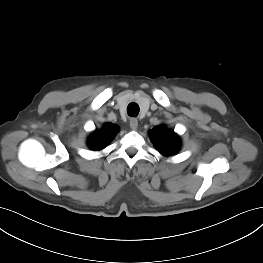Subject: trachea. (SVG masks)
<instances>
[{"instance_id":"trachea-1","label":"trachea","mask_w":263,"mask_h":263,"mask_svg":"<svg viewBox=\"0 0 263 263\" xmlns=\"http://www.w3.org/2000/svg\"><path fill=\"white\" fill-rule=\"evenodd\" d=\"M140 108L137 103L131 102L127 107V114L130 117H136L139 114Z\"/></svg>"}]
</instances>
